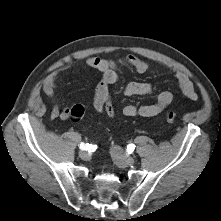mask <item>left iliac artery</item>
<instances>
[{
  "label": "left iliac artery",
  "instance_id": "1",
  "mask_svg": "<svg viewBox=\"0 0 221 221\" xmlns=\"http://www.w3.org/2000/svg\"><path fill=\"white\" fill-rule=\"evenodd\" d=\"M127 149H128V151L131 153V152L134 151L135 145H134V144H129V145L127 146Z\"/></svg>",
  "mask_w": 221,
  "mask_h": 221
}]
</instances>
